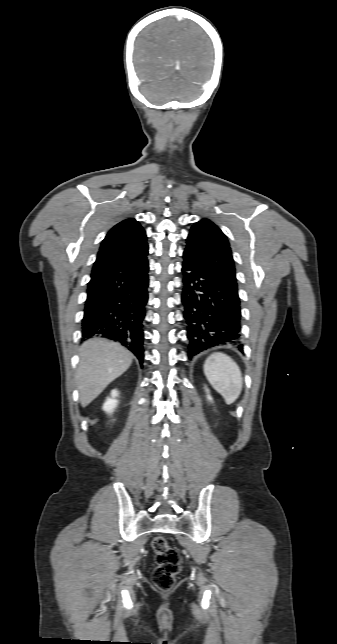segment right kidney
<instances>
[{"label": "right kidney", "mask_w": 337, "mask_h": 644, "mask_svg": "<svg viewBox=\"0 0 337 644\" xmlns=\"http://www.w3.org/2000/svg\"><path fill=\"white\" fill-rule=\"evenodd\" d=\"M119 392L117 390H112L111 392V397H108L103 405V410L106 411L107 413L111 414L114 409L117 407L118 400L116 397H118Z\"/></svg>", "instance_id": "right-kidney-1"}]
</instances>
